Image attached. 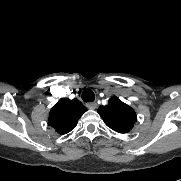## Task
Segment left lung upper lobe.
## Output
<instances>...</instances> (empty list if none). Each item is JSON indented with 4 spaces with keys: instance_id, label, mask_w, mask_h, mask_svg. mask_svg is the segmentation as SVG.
<instances>
[{
    "instance_id": "1",
    "label": "left lung upper lobe",
    "mask_w": 181,
    "mask_h": 181,
    "mask_svg": "<svg viewBox=\"0 0 181 181\" xmlns=\"http://www.w3.org/2000/svg\"><path fill=\"white\" fill-rule=\"evenodd\" d=\"M98 113L104 123L118 133H128L137 121L135 111L116 96L107 105L100 106Z\"/></svg>"
}]
</instances>
